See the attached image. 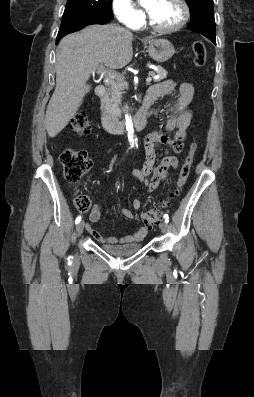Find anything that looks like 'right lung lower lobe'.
Listing matches in <instances>:
<instances>
[{"instance_id":"1","label":"right lung lower lobe","mask_w":254,"mask_h":397,"mask_svg":"<svg viewBox=\"0 0 254 397\" xmlns=\"http://www.w3.org/2000/svg\"><path fill=\"white\" fill-rule=\"evenodd\" d=\"M113 18V15L95 17L78 12H64L62 23L56 38V44L67 34L81 30L91 24H105Z\"/></svg>"}]
</instances>
